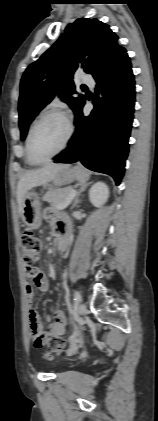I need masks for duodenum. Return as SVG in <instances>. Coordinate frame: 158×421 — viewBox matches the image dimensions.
<instances>
[{"label": "duodenum", "instance_id": "1", "mask_svg": "<svg viewBox=\"0 0 158 421\" xmlns=\"http://www.w3.org/2000/svg\"><path fill=\"white\" fill-rule=\"evenodd\" d=\"M67 244H68V237L67 236L60 237L59 242H58L59 250L64 251L67 247Z\"/></svg>", "mask_w": 158, "mask_h": 421}]
</instances>
